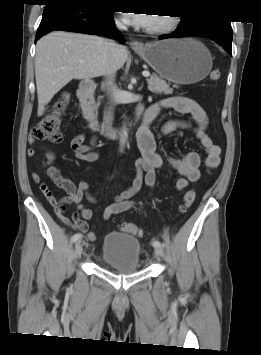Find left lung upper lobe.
Masks as SVG:
<instances>
[{
    "mask_svg": "<svg viewBox=\"0 0 261 355\" xmlns=\"http://www.w3.org/2000/svg\"><path fill=\"white\" fill-rule=\"evenodd\" d=\"M181 18H182V21L188 25L195 24L201 19V18H187V17H181Z\"/></svg>",
    "mask_w": 261,
    "mask_h": 355,
    "instance_id": "1",
    "label": "left lung upper lobe"
}]
</instances>
